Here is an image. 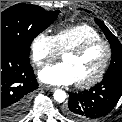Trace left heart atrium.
Segmentation results:
<instances>
[{
  "label": "left heart atrium",
  "instance_id": "1",
  "mask_svg": "<svg viewBox=\"0 0 122 122\" xmlns=\"http://www.w3.org/2000/svg\"><path fill=\"white\" fill-rule=\"evenodd\" d=\"M39 78L50 85H70L76 82L71 67L64 62L45 67L39 72Z\"/></svg>",
  "mask_w": 122,
  "mask_h": 122
}]
</instances>
